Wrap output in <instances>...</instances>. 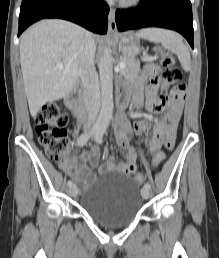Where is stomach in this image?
Segmentation results:
<instances>
[{"instance_id": "0dacf381", "label": "stomach", "mask_w": 219, "mask_h": 258, "mask_svg": "<svg viewBox=\"0 0 219 258\" xmlns=\"http://www.w3.org/2000/svg\"><path fill=\"white\" fill-rule=\"evenodd\" d=\"M120 49L124 57L135 58L140 53L139 43L131 34L121 37Z\"/></svg>"}]
</instances>
